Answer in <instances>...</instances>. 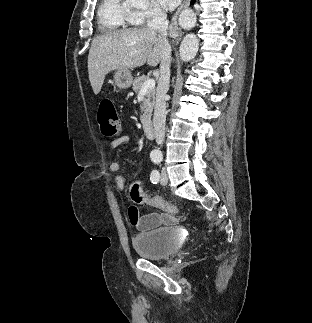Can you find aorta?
Listing matches in <instances>:
<instances>
[{"instance_id": "obj_1", "label": "aorta", "mask_w": 312, "mask_h": 323, "mask_svg": "<svg viewBox=\"0 0 312 323\" xmlns=\"http://www.w3.org/2000/svg\"><path fill=\"white\" fill-rule=\"evenodd\" d=\"M199 48V40L195 34H187L180 44V58L182 62H190L195 58Z\"/></svg>"}]
</instances>
